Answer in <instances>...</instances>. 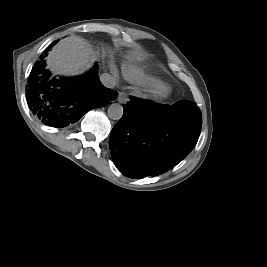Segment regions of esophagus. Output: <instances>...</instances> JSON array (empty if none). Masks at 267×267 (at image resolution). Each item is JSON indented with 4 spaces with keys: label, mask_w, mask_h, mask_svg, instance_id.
<instances>
[{
    "label": "esophagus",
    "mask_w": 267,
    "mask_h": 267,
    "mask_svg": "<svg viewBox=\"0 0 267 267\" xmlns=\"http://www.w3.org/2000/svg\"><path fill=\"white\" fill-rule=\"evenodd\" d=\"M129 100L128 96L126 93L124 92H120L119 95H118V98H117V101L121 104H125L127 103Z\"/></svg>",
    "instance_id": "34e87169"
}]
</instances>
